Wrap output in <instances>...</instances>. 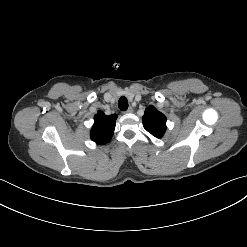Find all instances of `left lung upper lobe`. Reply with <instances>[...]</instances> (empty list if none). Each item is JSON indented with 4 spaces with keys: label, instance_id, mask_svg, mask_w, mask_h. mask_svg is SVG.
Instances as JSON below:
<instances>
[{
    "label": "left lung upper lobe",
    "instance_id": "obj_1",
    "mask_svg": "<svg viewBox=\"0 0 247 247\" xmlns=\"http://www.w3.org/2000/svg\"><path fill=\"white\" fill-rule=\"evenodd\" d=\"M143 126L156 138H161L166 131V116L150 105L143 115Z\"/></svg>",
    "mask_w": 247,
    "mask_h": 247
}]
</instances>
